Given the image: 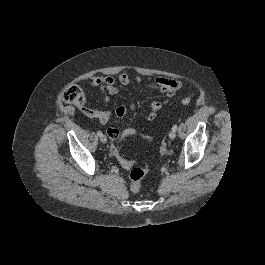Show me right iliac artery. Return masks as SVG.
<instances>
[{
  "instance_id": "1",
  "label": "right iliac artery",
  "mask_w": 265,
  "mask_h": 265,
  "mask_svg": "<svg viewBox=\"0 0 265 265\" xmlns=\"http://www.w3.org/2000/svg\"><path fill=\"white\" fill-rule=\"evenodd\" d=\"M97 135H98L99 137H101L103 134H102L101 131H98V132H97Z\"/></svg>"
}]
</instances>
